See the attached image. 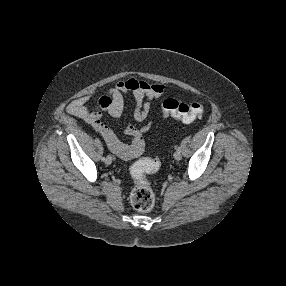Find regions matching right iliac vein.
<instances>
[{
  "label": "right iliac vein",
  "mask_w": 286,
  "mask_h": 286,
  "mask_svg": "<svg viewBox=\"0 0 286 286\" xmlns=\"http://www.w3.org/2000/svg\"><path fill=\"white\" fill-rule=\"evenodd\" d=\"M105 163L107 165H110L112 163V157L111 156H107L106 160H105Z\"/></svg>",
  "instance_id": "63e3f726"
}]
</instances>
